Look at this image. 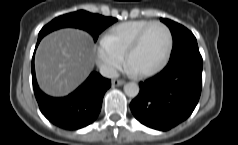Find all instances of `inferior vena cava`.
Returning a JSON list of instances; mask_svg holds the SVG:
<instances>
[{
  "label": "inferior vena cava",
  "instance_id": "obj_1",
  "mask_svg": "<svg viewBox=\"0 0 238 145\" xmlns=\"http://www.w3.org/2000/svg\"><path fill=\"white\" fill-rule=\"evenodd\" d=\"M100 74L106 78H117L119 76L115 68L106 65L100 67Z\"/></svg>",
  "mask_w": 238,
  "mask_h": 145
}]
</instances>
